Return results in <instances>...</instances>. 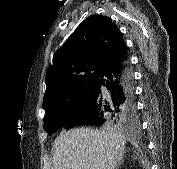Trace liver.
<instances>
[{
    "label": "liver",
    "instance_id": "6515ba94",
    "mask_svg": "<svg viewBox=\"0 0 177 169\" xmlns=\"http://www.w3.org/2000/svg\"><path fill=\"white\" fill-rule=\"evenodd\" d=\"M125 144L126 136L111 127L63 132L53 144L51 169H114L122 160Z\"/></svg>",
    "mask_w": 177,
    "mask_h": 169
}]
</instances>
